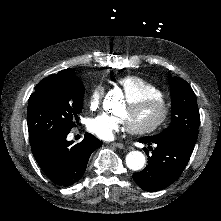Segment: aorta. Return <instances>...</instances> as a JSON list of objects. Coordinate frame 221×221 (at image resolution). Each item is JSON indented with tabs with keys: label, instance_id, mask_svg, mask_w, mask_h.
I'll return each instance as SVG.
<instances>
[{
	"label": "aorta",
	"instance_id": "1",
	"mask_svg": "<svg viewBox=\"0 0 221 221\" xmlns=\"http://www.w3.org/2000/svg\"><path fill=\"white\" fill-rule=\"evenodd\" d=\"M145 156L140 151H131L126 156L127 167L131 170H141L145 165Z\"/></svg>",
	"mask_w": 221,
	"mask_h": 221
}]
</instances>
